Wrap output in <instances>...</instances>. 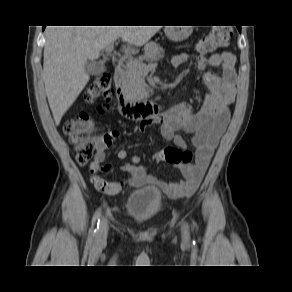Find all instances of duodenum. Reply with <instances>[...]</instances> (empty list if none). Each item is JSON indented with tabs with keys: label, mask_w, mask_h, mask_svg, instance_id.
I'll return each mask as SVG.
<instances>
[{
	"label": "duodenum",
	"mask_w": 292,
	"mask_h": 292,
	"mask_svg": "<svg viewBox=\"0 0 292 292\" xmlns=\"http://www.w3.org/2000/svg\"><path fill=\"white\" fill-rule=\"evenodd\" d=\"M114 80L116 94L119 98V108L123 115L141 121H151L162 111V106L156 101L149 99L132 100L123 95L124 66L121 61H118L114 67Z\"/></svg>",
	"instance_id": "410a0bca"
}]
</instances>
